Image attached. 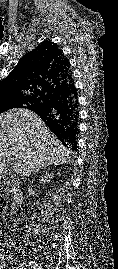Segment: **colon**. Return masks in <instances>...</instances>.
Returning a JSON list of instances; mask_svg holds the SVG:
<instances>
[{"instance_id": "1", "label": "colon", "mask_w": 118, "mask_h": 269, "mask_svg": "<svg viewBox=\"0 0 118 269\" xmlns=\"http://www.w3.org/2000/svg\"><path fill=\"white\" fill-rule=\"evenodd\" d=\"M3 207H4V202H3V200L0 198V213H1L2 210H3Z\"/></svg>"}]
</instances>
